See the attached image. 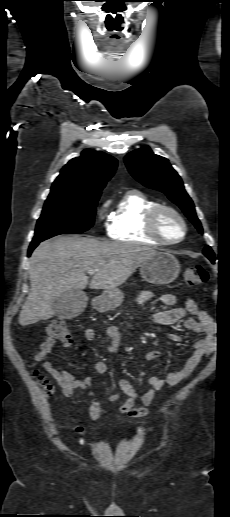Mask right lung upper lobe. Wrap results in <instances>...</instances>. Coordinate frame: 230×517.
<instances>
[{"label":"right lung upper lobe","mask_w":230,"mask_h":517,"mask_svg":"<svg viewBox=\"0 0 230 517\" xmlns=\"http://www.w3.org/2000/svg\"><path fill=\"white\" fill-rule=\"evenodd\" d=\"M117 160L103 152L86 149L70 160L53 182L48 198L101 194L113 176Z\"/></svg>","instance_id":"cb5924a9"}]
</instances>
